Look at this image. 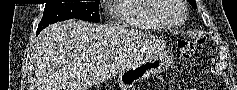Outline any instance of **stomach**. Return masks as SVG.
I'll return each instance as SVG.
<instances>
[{"instance_id":"obj_1","label":"stomach","mask_w":237,"mask_h":90,"mask_svg":"<svg viewBox=\"0 0 237 90\" xmlns=\"http://www.w3.org/2000/svg\"><path fill=\"white\" fill-rule=\"evenodd\" d=\"M170 65L171 57L165 53L136 63L120 73L119 88L120 90H129L136 83L164 72Z\"/></svg>"}]
</instances>
